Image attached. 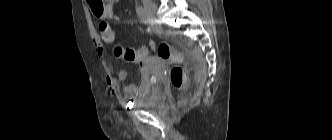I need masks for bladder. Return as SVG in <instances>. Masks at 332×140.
<instances>
[{
    "label": "bladder",
    "mask_w": 332,
    "mask_h": 140,
    "mask_svg": "<svg viewBox=\"0 0 332 140\" xmlns=\"http://www.w3.org/2000/svg\"><path fill=\"white\" fill-rule=\"evenodd\" d=\"M165 98L164 92L155 88L153 91L148 93L145 97L138 99L135 104L140 107H155L159 105Z\"/></svg>",
    "instance_id": "bladder-1"
}]
</instances>
